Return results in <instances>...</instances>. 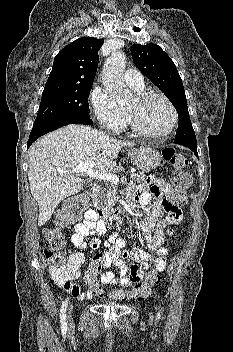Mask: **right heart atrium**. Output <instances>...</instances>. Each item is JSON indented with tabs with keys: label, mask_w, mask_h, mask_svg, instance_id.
Masks as SVG:
<instances>
[{
	"label": "right heart atrium",
	"mask_w": 233,
	"mask_h": 352,
	"mask_svg": "<svg viewBox=\"0 0 233 352\" xmlns=\"http://www.w3.org/2000/svg\"><path fill=\"white\" fill-rule=\"evenodd\" d=\"M91 102L95 118L99 124L113 132H119L125 127L127 115L108 92L101 88L94 89Z\"/></svg>",
	"instance_id": "obj_1"
}]
</instances>
